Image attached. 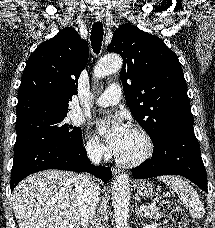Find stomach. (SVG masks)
I'll return each instance as SVG.
<instances>
[{
    "label": "stomach",
    "mask_w": 215,
    "mask_h": 228,
    "mask_svg": "<svg viewBox=\"0 0 215 228\" xmlns=\"http://www.w3.org/2000/svg\"><path fill=\"white\" fill-rule=\"evenodd\" d=\"M136 192L140 198H153L155 194V186L151 182H145V180H138L134 182Z\"/></svg>",
    "instance_id": "1"
}]
</instances>
